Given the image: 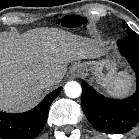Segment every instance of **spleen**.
I'll use <instances>...</instances> for the list:
<instances>
[{"label":"spleen","instance_id":"3e777b00","mask_svg":"<svg viewBox=\"0 0 139 139\" xmlns=\"http://www.w3.org/2000/svg\"><path fill=\"white\" fill-rule=\"evenodd\" d=\"M129 86L130 82L128 76L121 72L111 81L109 93L115 96L125 95L129 89Z\"/></svg>","mask_w":139,"mask_h":139}]
</instances>
